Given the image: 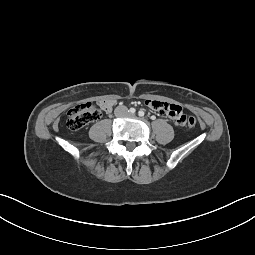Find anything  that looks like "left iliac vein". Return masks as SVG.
<instances>
[{
  "label": "left iliac vein",
  "instance_id": "obj_1",
  "mask_svg": "<svg viewBox=\"0 0 255 255\" xmlns=\"http://www.w3.org/2000/svg\"><path fill=\"white\" fill-rule=\"evenodd\" d=\"M131 117H134L135 115L134 114H130Z\"/></svg>",
  "mask_w": 255,
  "mask_h": 255
}]
</instances>
